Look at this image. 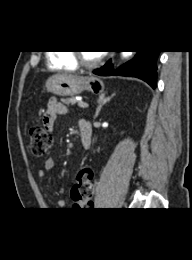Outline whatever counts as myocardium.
Returning a JSON list of instances; mask_svg holds the SVG:
<instances>
[{"label": "myocardium", "instance_id": "obj_1", "mask_svg": "<svg viewBox=\"0 0 192 260\" xmlns=\"http://www.w3.org/2000/svg\"><path fill=\"white\" fill-rule=\"evenodd\" d=\"M75 61L77 62V64L85 67V68H93L96 67L97 65H99L102 60H103V56L99 55L96 59L94 60H87L84 56L83 53L75 50L73 52H71Z\"/></svg>", "mask_w": 192, "mask_h": 260}]
</instances>
